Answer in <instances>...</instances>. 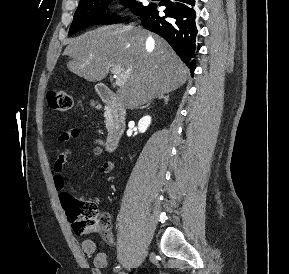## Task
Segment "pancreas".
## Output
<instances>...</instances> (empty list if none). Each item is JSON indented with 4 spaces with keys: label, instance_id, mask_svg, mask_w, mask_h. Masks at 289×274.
I'll use <instances>...</instances> for the list:
<instances>
[{
    "label": "pancreas",
    "instance_id": "pancreas-1",
    "mask_svg": "<svg viewBox=\"0 0 289 274\" xmlns=\"http://www.w3.org/2000/svg\"><path fill=\"white\" fill-rule=\"evenodd\" d=\"M110 122L108 120H106V127H109Z\"/></svg>",
    "mask_w": 289,
    "mask_h": 274
}]
</instances>
